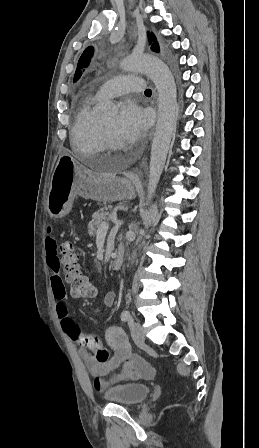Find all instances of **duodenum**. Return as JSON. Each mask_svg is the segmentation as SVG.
<instances>
[{"instance_id":"410a0bca","label":"duodenum","mask_w":259,"mask_h":448,"mask_svg":"<svg viewBox=\"0 0 259 448\" xmlns=\"http://www.w3.org/2000/svg\"><path fill=\"white\" fill-rule=\"evenodd\" d=\"M123 261H124V246L120 245L118 247L116 257L114 258V260L112 262V268L114 270H119L123 265Z\"/></svg>"}]
</instances>
